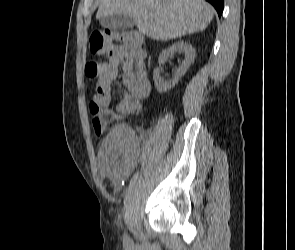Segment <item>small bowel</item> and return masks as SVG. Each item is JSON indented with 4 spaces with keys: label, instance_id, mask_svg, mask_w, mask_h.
I'll return each instance as SVG.
<instances>
[{
    "label": "small bowel",
    "instance_id": "small-bowel-1",
    "mask_svg": "<svg viewBox=\"0 0 295 250\" xmlns=\"http://www.w3.org/2000/svg\"><path fill=\"white\" fill-rule=\"evenodd\" d=\"M119 81L124 95L117 105V110L125 113L140 111L142 102L151 89L143 51L132 53L123 44L113 46L108 53L104 71L97 80L92 102L106 109L112 101L111 86ZM134 145L131 131L124 126L115 128L101 144L100 170L115 185H120L130 173Z\"/></svg>",
    "mask_w": 295,
    "mask_h": 250
}]
</instances>
